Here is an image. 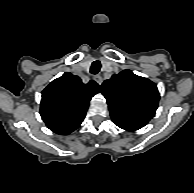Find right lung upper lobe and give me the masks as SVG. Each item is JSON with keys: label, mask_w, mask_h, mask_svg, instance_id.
Returning <instances> with one entry per match:
<instances>
[{"label": "right lung upper lobe", "mask_w": 194, "mask_h": 193, "mask_svg": "<svg viewBox=\"0 0 194 193\" xmlns=\"http://www.w3.org/2000/svg\"><path fill=\"white\" fill-rule=\"evenodd\" d=\"M98 92L100 86L95 81L83 84L66 72L42 91L40 115L50 130L67 135L80 126L89 101Z\"/></svg>", "instance_id": "cb5924a9"}]
</instances>
